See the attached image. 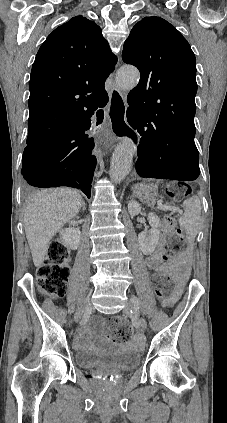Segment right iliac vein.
I'll return each mask as SVG.
<instances>
[{
    "mask_svg": "<svg viewBox=\"0 0 227 423\" xmlns=\"http://www.w3.org/2000/svg\"><path fill=\"white\" fill-rule=\"evenodd\" d=\"M90 307V300L89 298H86L85 300H83V302L80 304L76 315H75V320L78 321L81 317V315L83 314V312L87 309H89Z\"/></svg>",
    "mask_w": 227,
    "mask_h": 423,
    "instance_id": "63e3f726",
    "label": "right iliac vein"
}]
</instances>
